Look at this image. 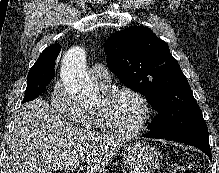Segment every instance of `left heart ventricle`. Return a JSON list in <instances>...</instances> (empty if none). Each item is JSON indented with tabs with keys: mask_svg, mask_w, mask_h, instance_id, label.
Here are the masks:
<instances>
[{
	"mask_svg": "<svg viewBox=\"0 0 219 173\" xmlns=\"http://www.w3.org/2000/svg\"><path fill=\"white\" fill-rule=\"evenodd\" d=\"M103 104L100 98L98 106ZM109 116L113 123L124 130L136 128L143 116V108L139 100L131 94L122 93L115 97L107 106Z\"/></svg>",
	"mask_w": 219,
	"mask_h": 173,
	"instance_id": "left-heart-ventricle-1",
	"label": "left heart ventricle"
}]
</instances>
